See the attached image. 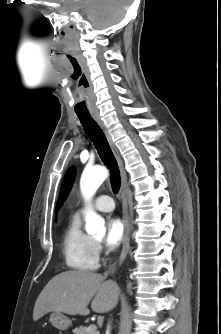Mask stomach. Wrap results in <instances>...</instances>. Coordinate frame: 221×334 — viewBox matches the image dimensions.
<instances>
[{"mask_svg": "<svg viewBox=\"0 0 221 334\" xmlns=\"http://www.w3.org/2000/svg\"><path fill=\"white\" fill-rule=\"evenodd\" d=\"M49 321L59 330H67L71 325V320L63 313L57 311L51 313Z\"/></svg>", "mask_w": 221, "mask_h": 334, "instance_id": "obj_1", "label": "stomach"}]
</instances>
